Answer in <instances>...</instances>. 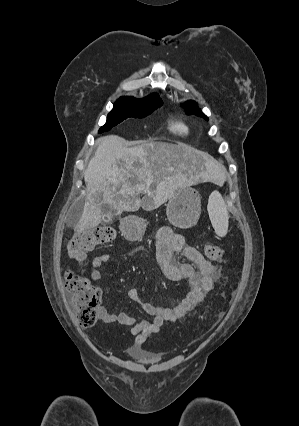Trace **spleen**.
Segmentation results:
<instances>
[{
    "label": "spleen",
    "mask_w": 299,
    "mask_h": 426,
    "mask_svg": "<svg viewBox=\"0 0 299 426\" xmlns=\"http://www.w3.org/2000/svg\"><path fill=\"white\" fill-rule=\"evenodd\" d=\"M207 210L216 234L225 236L228 232L229 216L225 201L218 191L209 196Z\"/></svg>",
    "instance_id": "3e777b00"
}]
</instances>
